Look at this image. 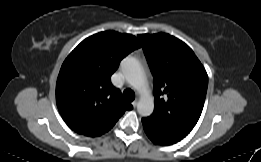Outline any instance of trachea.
<instances>
[{
	"label": "trachea",
	"instance_id": "obj_1",
	"mask_svg": "<svg viewBox=\"0 0 261 162\" xmlns=\"http://www.w3.org/2000/svg\"><path fill=\"white\" fill-rule=\"evenodd\" d=\"M123 97H124L125 101L132 102L135 99V94L132 90L126 89L123 92Z\"/></svg>",
	"mask_w": 261,
	"mask_h": 162
}]
</instances>
